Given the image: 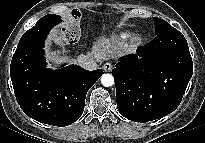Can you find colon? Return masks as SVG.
<instances>
[{
    "instance_id": "1",
    "label": "colon",
    "mask_w": 205,
    "mask_h": 143,
    "mask_svg": "<svg viewBox=\"0 0 205 143\" xmlns=\"http://www.w3.org/2000/svg\"><path fill=\"white\" fill-rule=\"evenodd\" d=\"M79 20V13L72 11L66 23L57 32V37L61 42L74 43L77 40Z\"/></svg>"
}]
</instances>
